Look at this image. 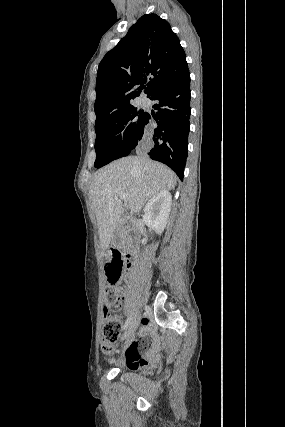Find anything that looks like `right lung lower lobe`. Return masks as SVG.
Instances as JSON below:
<instances>
[{"label": "right lung lower lobe", "instance_id": "1", "mask_svg": "<svg viewBox=\"0 0 285 427\" xmlns=\"http://www.w3.org/2000/svg\"><path fill=\"white\" fill-rule=\"evenodd\" d=\"M159 103L153 118V143L148 155L151 159L168 165L183 180L190 131V73L189 70L176 82L158 90L151 97ZM151 116L147 113L140 140L148 136Z\"/></svg>", "mask_w": 285, "mask_h": 427}]
</instances>
